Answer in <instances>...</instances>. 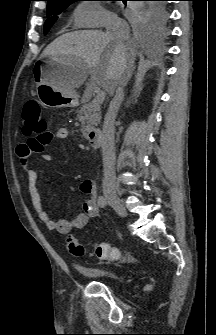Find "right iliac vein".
<instances>
[{
    "label": "right iliac vein",
    "instance_id": "right-iliac-vein-1",
    "mask_svg": "<svg viewBox=\"0 0 216 335\" xmlns=\"http://www.w3.org/2000/svg\"><path fill=\"white\" fill-rule=\"evenodd\" d=\"M105 197L109 205L116 211V213L121 217H126L127 212L122 201L114 193L105 192Z\"/></svg>",
    "mask_w": 216,
    "mask_h": 335
}]
</instances>
